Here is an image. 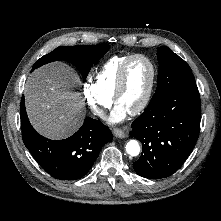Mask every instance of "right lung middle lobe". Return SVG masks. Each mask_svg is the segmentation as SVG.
I'll return each mask as SVG.
<instances>
[{
  "mask_svg": "<svg viewBox=\"0 0 221 221\" xmlns=\"http://www.w3.org/2000/svg\"><path fill=\"white\" fill-rule=\"evenodd\" d=\"M109 45H77L70 47H58L51 53L41 57L33 66V70L49 62L66 60L79 68L83 79H86L91 66L96 63L107 51Z\"/></svg>",
  "mask_w": 221,
  "mask_h": 221,
  "instance_id": "right-lung-middle-lobe-1",
  "label": "right lung middle lobe"
}]
</instances>
